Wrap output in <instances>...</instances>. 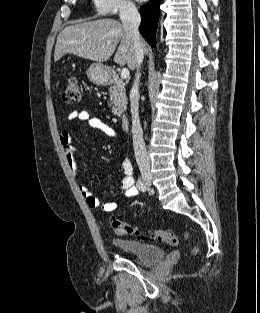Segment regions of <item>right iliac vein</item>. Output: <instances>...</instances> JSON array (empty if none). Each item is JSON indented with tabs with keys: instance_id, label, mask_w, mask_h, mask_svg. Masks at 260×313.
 Masks as SVG:
<instances>
[{
	"instance_id": "right-iliac-vein-1",
	"label": "right iliac vein",
	"mask_w": 260,
	"mask_h": 313,
	"mask_svg": "<svg viewBox=\"0 0 260 313\" xmlns=\"http://www.w3.org/2000/svg\"><path fill=\"white\" fill-rule=\"evenodd\" d=\"M141 175L143 180L146 182V184L150 185L151 184V174L148 168H141L140 169Z\"/></svg>"
}]
</instances>
